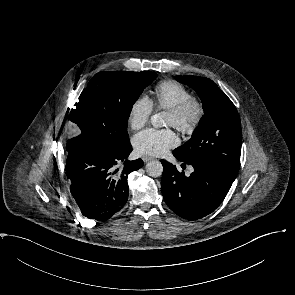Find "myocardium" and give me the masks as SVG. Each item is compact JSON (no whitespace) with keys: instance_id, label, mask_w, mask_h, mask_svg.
Wrapping results in <instances>:
<instances>
[{"instance_id":"f54148a6","label":"myocardium","mask_w":295,"mask_h":295,"mask_svg":"<svg viewBox=\"0 0 295 295\" xmlns=\"http://www.w3.org/2000/svg\"><path fill=\"white\" fill-rule=\"evenodd\" d=\"M169 113L176 119L175 128L184 134L193 133L202 123L206 108L204 102L191 97L183 104L170 109Z\"/></svg>"}]
</instances>
